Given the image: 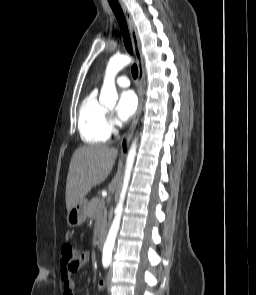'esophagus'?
<instances>
[{
    "instance_id": "34e87169",
    "label": "esophagus",
    "mask_w": 256,
    "mask_h": 295,
    "mask_svg": "<svg viewBox=\"0 0 256 295\" xmlns=\"http://www.w3.org/2000/svg\"><path fill=\"white\" fill-rule=\"evenodd\" d=\"M121 6L124 11L127 22H128V26H129V30H130V34H131L132 45H133V51H134L136 61H137V66H138L137 92H138V98H139L137 111L134 115V118H133V121L131 123L129 130L127 131V133L123 137V140L121 142V144H122L124 140L129 139L131 137V135L133 134V132L136 128V125L138 123L140 113H141L142 100H143L142 86H143V77H144V67H143V55L141 52L140 41H139L138 32H137L135 23L133 21V18L131 16L130 12L127 10L125 5L123 3H121Z\"/></svg>"
}]
</instances>
